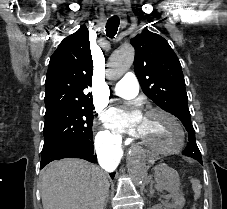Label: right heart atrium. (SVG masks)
<instances>
[{
	"mask_svg": "<svg viewBox=\"0 0 227 209\" xmlns=\"http://www.w3.org/2000/svg\"><path fill=\"white\" fill-rule=\"evenodd\" d=\"M123 146V138L111 129H100L95 136V147L100 154L118 155Z\"/></svg>",
	"mask_w": 227,
	"mask_h": 209,
	"instance_id": "d8ad5b80",
	"label": "right heart atrium"
}]
</instances>
